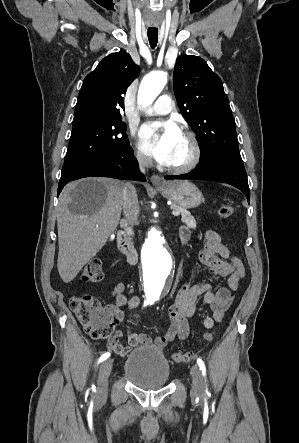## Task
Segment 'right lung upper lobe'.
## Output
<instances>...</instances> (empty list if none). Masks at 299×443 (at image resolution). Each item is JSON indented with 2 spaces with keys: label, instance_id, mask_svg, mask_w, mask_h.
Listing matches in <instances>:
<instances>
[{
  "label": "right lung upper lobe",
  "instance_id": "1",
  "mask_svg": "<svg viewBox=\"0 0 299 443\" xmlns=\"http://www.w3.org/2000/svg\"><path fill=\"white\" fill-rule=\"evenodd\" d=\"M139 71V66L124 51L112 53L101 60L83 81L73 124L89 119L121 118L124 109L122 94L137 78Z\"/></svg>",
  "mask_w": 299,
  "mask_h": 443
}]
</instances>
